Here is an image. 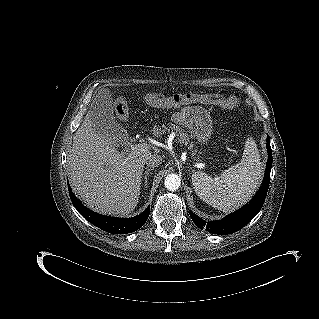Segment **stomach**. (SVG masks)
<instances>
[{"label": "stomach", "mask_w": 319, "mask_h": 319, "mask_svg": "<svg viewBox=\"0 0 319 319\" xmlns=\"http://www.w3.org/2000/svg\"><path fill=\"white\" fill-rule=\"evenodd\" d=\"M182 124L198 142L205 143L212 134V120L209 114L202 109H194L186 114Z\"/></svg>", "instance_id": "stomach-1"}]
</instances>
